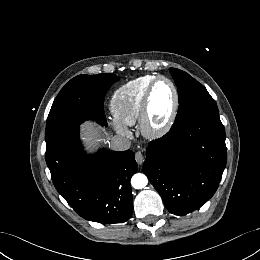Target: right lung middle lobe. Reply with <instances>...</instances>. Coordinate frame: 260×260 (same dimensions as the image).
<instances>
[{"label":"right lung middle lobe","mask_w":260,"mask_h":260,"mask_svg":"<svg viewBox=\"0 0 260 260\" xmlns=\"http://www.w3.org/2000/svg\"><path fill=\"white\" fill-rule=\"evenodd\" d=\"M119 77L110 74L79 75L59 92L51 107L46 124V150L51 149L69 130L82 122L95 119L107 125L104 97Z\"/></svg>","instance_id":"1"}]
</instances>
